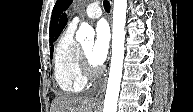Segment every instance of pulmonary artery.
I'll use <instances>...</instances> for the list:
<instances>
[{
  "label": "pulmonary artery",
  "instance_id": "e3ab8cb5",
  "mask_svg": "<svg viewBox=\"0 0 193 112\" xmlns=\"http://www.w3.org/2000/svg\"><path fill=\"white\" fill-rule=\"evenodd\" d=\"M102 14V10L100 4L98 2L90 3L85 9L84 13L80 16H75L71 21L70 25L73 27H77V25L85 18V19H96L99 18Z\"/></svg>",
  "mask_w": 193,
  "mask_h": 112
}]
</instances>
